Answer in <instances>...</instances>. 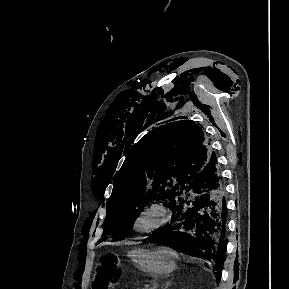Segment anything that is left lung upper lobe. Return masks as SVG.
Segmentation results:
<instances>
[{"instance_id":"5c2ea615","label":"left lung upper lobe","mask_w":289,"mask_h":289,"mask_svg":"<svg viewBox=\"0 0 289 289\" xmlns=\"http://www.w3.org/2000/svg\"><path fill=\"white\" fill-rule=\"evenodd\" d=\"M214 154L192 121L171 122L145 135L114 177L100 241L126 238L132 219L152 200L162 199L171 208Z\"/></svg>"}]
</instances>
